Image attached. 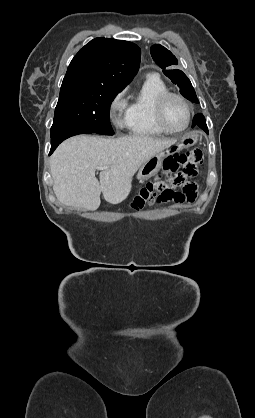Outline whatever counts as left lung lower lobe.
Listing matches in <instances>:
<instances>
[{"mask_svg":"<svg viewBox=\"0 0 255 418\" xmlns=\"http://www.w3.org/2000/svg\"><path fill=\"white\" fill-rule=\"evenodd\" d=\"M194 126H199L206 133H208V128H207V125H206V121H205V118L202 114L195 115V117L193 119L192 127H194Z\"/></svg>","mask_w":255,"mask_h":418,"instance_id":"1","label":"left lung lower lobe"}]
</instances>
